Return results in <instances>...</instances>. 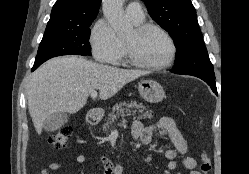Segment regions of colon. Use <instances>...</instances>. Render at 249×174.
Instances as JSON below:
<instances>
[{
  "mask_svg": "<svg viewBox=\"0 0 249 174\" xmlns=\"http://www.w3.org/2000/svg\"><path fill=\"white\" fill-rule=\"evenodd\" d=\"M71 134V128L68 126H63L52 133V135L48 139L49 144L55 150L64 149L67 146ZM200 161V172L202 174H208L212 169L211 158L209 154L203 151L200 155Z\"/></svg>",
  "mask_w": 249,
  "mask_h": 174,
  "instance_id": "1",
  "label": "colon"
}]
</instances>
